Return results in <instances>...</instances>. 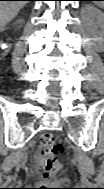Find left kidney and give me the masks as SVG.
Returning <instances> with one entry per match:
<instances>
[{
  "instance_id": "5707ae66",
  "label": "left kidney",
  "mask_w": 104,
  "mask_h": 189,
  "mask_svg": "<svg viewBox=\"0 0 104 189\" xmlns=\"http://www.w3.org/2000/svg\"><path fill=\"white\" fill-rule=\"evenodd\" d=\"M87 18H97L99 22H103V13L92 7H87L84 11Z\"/></svg>"
}]
</instances>
